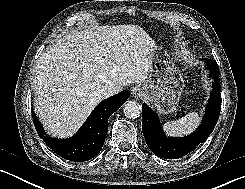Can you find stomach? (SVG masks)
<instances>
[{
	"instance_id": "0dacf381",
	"label": "stomach",
	"mask_w": 245,
	"mask_h": 189,
	"mask_svg": "<svg viewBox=\"0 0 245 189\" xmlns=\"http://www.w3.org/2000/svg\"><path fill=\"white\" fill-rule=\"evenodd\" d=\"M140 87L143 99L153 104L160 114L176 110L184 79L167 51L158 48L154 52L148 77Z\"/></svg>"
}]
</instances>
